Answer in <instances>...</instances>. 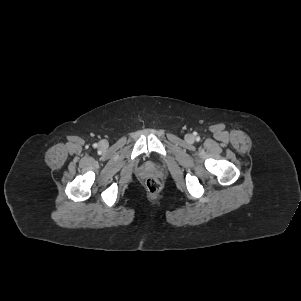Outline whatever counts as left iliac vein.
Here are the masks:
<instances>
[{
    "label": "left iliac vein",
    "instance_id": "obj_1",
    "mask_svg": "<svg viewBox=\"0 0 301 301\" xmlns=\"http://www.w3.org/2000/svg\"><path fill=\"white\" fill-rule=\"evenodd\" d=\"M187 141L192 142L194 140V137L192 135L186 136Z\"/></svg>",
    "mask_w": 301,
    "mask_h": 301
}]
</instances>
